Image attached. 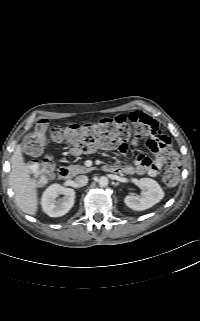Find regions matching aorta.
Returning <instances> with one entry per match:
<instances>
[{"instance_id":"1","label":"aorta","mask_w":200,"mask_h":321,"mask_svg":"<svg viewBox=\"0 0 200 321\" xmlns=\"http://www.w3.org/2000/svg\"><path fill=\"white\" fill-rule=\"evenodd\" d=\"M109 183V180L107 177L105 176H101L99 179H98V184L101 186V187H106Z\"/></svg>"}]
</instances>
